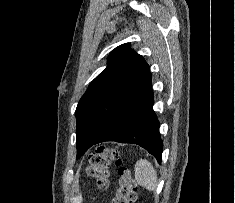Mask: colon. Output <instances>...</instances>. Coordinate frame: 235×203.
Listing matches in <instances>:
<instances>
[{"instance_id": "5ec220e1", "label": "colon", "mask_w": 235, "mask_h": 203, "mask_svg": "<svg viewBox=\"0 0 235 203\" xmlns=\"http://www.w3.org/2000/svg\"><path fill=\"white\" fill-rule=\"evenodd\" d=\"M115 162L118 167L116 192L111 203H134L137 197V185L130 170L119 158V152L111 147H99L89 157L87 175L96 181L100 189L109 185V167Z\"/></svg>"}]
</instances>
